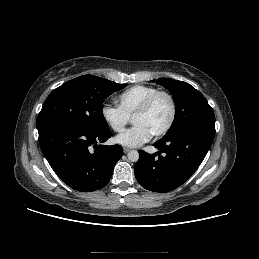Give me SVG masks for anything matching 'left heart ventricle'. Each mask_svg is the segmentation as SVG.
<instances>
[{"label": "left heart ventricle", "mask_w": 259, "mask_h": 259, "mask_svg": "<svg viewBox=\"0 0 259 259\" xmlns=\"http://www.w3.org/2000/svg\"><path fill=\"white\" fill-rule=\"evenodd\" d=\"M170 115V102L166 97L161 96L154 102L146 114L134 117L133 124L144 126L153 135L167 124Z\"/></svg>", "instance_id": "1"}]
</instances>
